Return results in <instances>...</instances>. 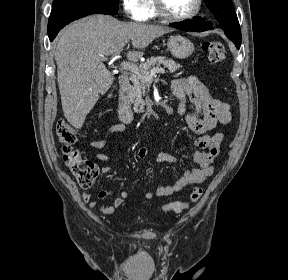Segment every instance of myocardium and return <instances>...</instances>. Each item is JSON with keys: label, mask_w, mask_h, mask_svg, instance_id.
<instances>
[{"label": "myocardium", "mask_w": 288, "mask_h": 280, "mask_svg": "<svg viewBox=\"0 0 288 280\" xmlns=\"http://www.w3.org/2000/svg\"><path fill=\"white\" fill-rule=\"evenodd\" d=\"M202 3H203L202 0H196L195 7L191 12L182 16H174V15L169 14L166 11L162 0H154L156 13L161 18L171 21V22H183V21H187L196 17L201 10Z\"/></svg>", "instance_id": "obj_1"}]
</instances>
